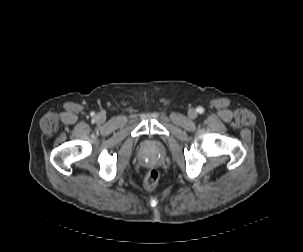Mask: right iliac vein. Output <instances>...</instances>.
Returning a JSON list of instances; mask_svg holds the SVG:
<instances>
[{
	"mask_svg": "<svg viewBox=\"0 0 303 252\" xmlns=\"http://www.w3.org/2000/svg\"><path fill=\"white\" fill-rule=\"evenodd\" d=\"M96 119H97V121H99L101 123H103L106 120V118H105V116L103 114H98L96 116Z\"/></svg>",
	"mask_w": 303,
	"mask_h": 252,
	"instance_id": "obj_1",
	"label": "right iliac vein"
}]
</instances>
